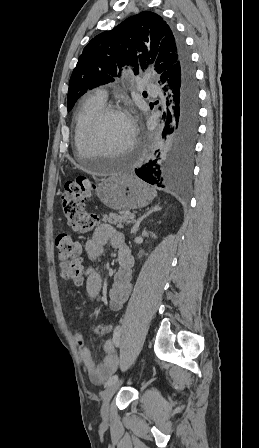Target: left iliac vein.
<instances>
[{"instance_id": "4c4485c4", "label": "left iliac vein", "mask_w": 259, "mask_h": 448, "mask_svg": "<svg viewBox=\"0 0 259 448\" xmlns=\"http://www.w3.org/2000/svg\"><path fill=\"white\" fill-rule=\"evenodd\" d=\"M120 386L119 381H115L114 383L108 385V387L104 390L102 394V408H101V415L103 419H107L108 413H109V403L115 392L118 390Z\"/></svg>"}]
</instances>
